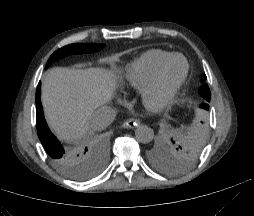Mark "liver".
<instances>
[{
  "label": "liver",
  "mask_w": 254,
  "mask_h": 216,
  "mask_svg": "<svg viewBox=\"0 0 254 216\" xmlns=\"http://www.w3.org/2000/svg\"><path fill=\"white\" fill-rule=\"evenodd\" d=\"M115 71L102 68L55 67L42 85L41 100L51 129L65 141L84 137L91 129L89 119L108 103L116 86Z\"/></svg>",
  "instance_id": "liver-1"
}]
</instances>
